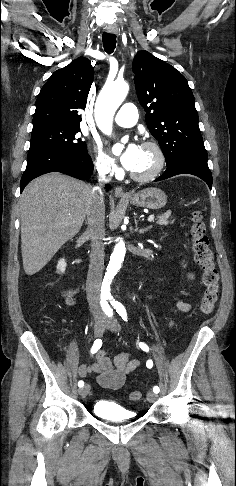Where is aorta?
<instances>
[{
  "label": "aorta",
  "mask_w": 236,
  "mask_h": 486,
  "mask_svg": "<svg viewBox=\"0 0 236 486\" xmlns=\"http://www.w3.org/2000/svg\"><path fill=\"white\" fill-rule=\"evenodd\" d=\"M128 91L129 85L125 81L106 84L101 90L95 107V117L99 127L106 134H111L113 116L118 107L126 98ZM121 147L122 146L119 143L115 144L113 146V152L119 151ZM125 253V244L122 239H119V242L116 244L111 255L110 262L102 282L101 294L103 296L110 295V286L112 280L124 261Z\"/></svg>",
  "instance_id": "aorta-1"
}]
</instances>
